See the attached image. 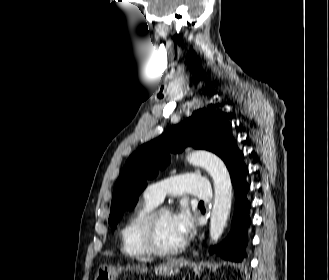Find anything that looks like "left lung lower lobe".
Instances as JSON below:
<instances>
[{"instance_id": "left-lung-lower-lobe-1", "label": "left lung lower lobe", "mask_w": 329, "mask_h": 280, "mask_svg": "<svg viewBox=\"0 0 329 280\" xmlns=\"http://www.w3.org/2000/svg\"><path fill=\"white\" fill-rule=\"evenodd\" d=\"M247 173L248 168L244 164L243 158L239 165L230 171L232 184L235 190V213L232 219L231 231L218 248L223 258L235 262L242 261L248 242L247 229L250 225V203L246 197L249 190V185L246 182ZM210 251L213 252L216 251V249L213 248L210 249Z\"/></svg>"}]
</instances>
